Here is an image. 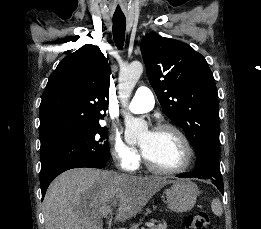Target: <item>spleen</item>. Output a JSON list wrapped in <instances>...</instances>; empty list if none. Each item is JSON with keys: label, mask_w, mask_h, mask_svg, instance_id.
<instances>
[{"label": "spleen", "mask_w": 261, "mask_h": 229, "mask_svg": "<svg viewBox=\"0 0 261 229\" xmlns=\"http://www.w3.org/2000/svg\"><path fill=\"white\" fill-rule=\"evenodd\" d=\"M211 209L214 215H217V217H221L223 213V209H222L221 201H219V199H213L211 203Z\"/></svg>", "instance_id": "obj_1"}]
</instances>
